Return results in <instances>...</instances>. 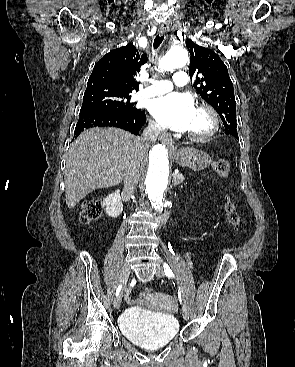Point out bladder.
Here are the masks:
<instances>
[{
	"mask_svg": "<svg viewBox=\"0 0 295 367\" xmlns=\"http://www.w3.org/2000/svg\"><path fill=\"white\" fill-rule=\"evenodd\" d=\"M120 327L127 338L146 347H162L170 343L179 331V324L172 315L149 319L137 308H128L122 314Z\"/></svg>",
	"mask_w": 295,
	"mask_h": 367,
	"instance_id": "1",
	"label": "bladder"
}]
</instances>
